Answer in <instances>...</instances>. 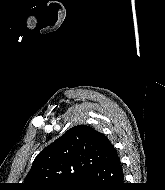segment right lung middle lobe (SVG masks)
Segmentation results:
<instances>
[{"instance_id":"1","label":"right lung middle lobe","mask_w":165,"mask_h":190,"mask_svg":"<svg viewBox=\"0 0 165 190\" xmlns=\"http://www.w3.org/2000/svg\"><path fill=\"white\" fill-rule=\"evenodd\" d=\"M81 185H82V180H79L76 183L53 187L50 188L49 190H79L81 188Z\"/></svg>"}]
</instances>
